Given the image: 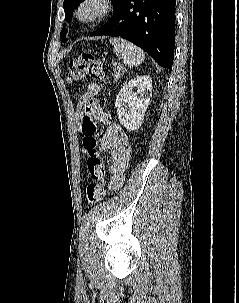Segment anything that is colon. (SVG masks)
<instances>
[{
  "label": "colon",
  "mask_w": 239,
  "mask_h": 303,
  "mask_svg": "<svg viewBox=\"0 0 239 303\" xmlns=\"http://www.w3.org/2000/svg\"><path fill=\"white\" fill-rule=\"evenodd\" d=\"M105 70L102 63L92 54L84 53L80 57L71 59L68 63V81L78 82L87 77L105 83ZM97 126L89 111H86L81 125L83 133V147L87 151V169L91 182L85 190L86 199L89 204L101 202L106 196L105 174L106 169L96 138Z\"/></svg>",
  "instance_id": "obj_1"
}]
</instances>
